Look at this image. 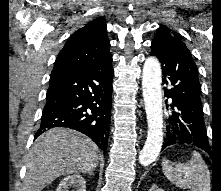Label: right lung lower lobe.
<instances>
[{"label":"right lung lower lobe","mask_w":221,"mask_h":191,"mask_svg":"<svg viewBox=\"0 0 221 191\" xmlns=\"http://www.w3.org/2000/svg\"><path fill=\"white\" fill-rule=\"evenodd\" d=\"M111 63L52 76L35 138L50 128L68 127L106 150L114 75Z\"/></svg>","instance_id":"obj_1"}]
</instances>
